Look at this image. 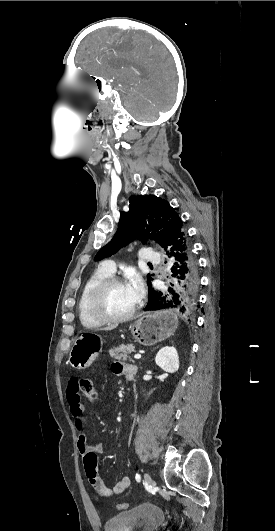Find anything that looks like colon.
<instances>
[{
	"label": "colon",
	"instance_id": "1",
	"mask_svg": "<svg viewBox=\"0 0 275 531\" xmlns=\"http://www.w3.org/2000/svg\"><path fill=\"white\" fill-rule=\"evenodd\" d=\"M81 392H85V397L92 403L98 402L97 383L92 378L85 377V381H81L79 384ZM117 511L119 513L125 512L128 509L127 503H118Z\"/></svg>",
	"mask_w": 275,
	"mask_h": 531
}]
</instances>
